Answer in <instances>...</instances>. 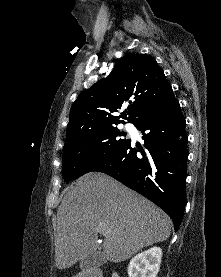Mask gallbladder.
I'll return each instance as SVG.
<instances>
[{
	"label": "gallbladder",
	"instance_id": "bac80fb5",
	"mask_svg": "<svg viewBox=\"0 0 221 277\" xmlns=\"http://www.w3.org/2000/svg\"><path fill=\"white\" fill-rule=\"evenodd\" d=\"M106 263V259L100 251H95L94 253L88 255L80 262V268L83 270L99 267Z\"/></svg>",
	"mask_w": 221,
	"mask_h": 277
}]
</instances>
